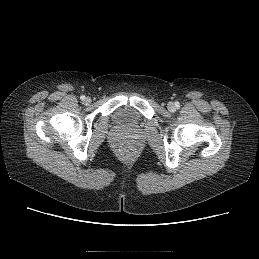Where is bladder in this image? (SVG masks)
<instances>
[{
    "instance_id": "obj_1",
    "label": "bladder",
    "mask_w": 259,
    "mask_h": 259,
    "mask_svg": "<svg viewBox=\"0 0 259 259\" xmlns=\"http://www.w3.org/2000/svg\"><path fill=\"white\" fill-rule=\"evenodd\" d=\"M113 122L120 127H133L139 123L140 116L130 107H120L113 113Z\"/></svg>"
}]
</instances>
